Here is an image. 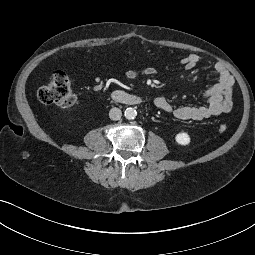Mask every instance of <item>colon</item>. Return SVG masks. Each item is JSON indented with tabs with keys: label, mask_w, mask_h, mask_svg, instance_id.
I'll return each mask as SVG.
<instances>
[{
	"label": "colon",
	"mask_w": 255,
	"mask_h": 255,
	"mask_svg": "<svg viewBox=\"0 0 255 255\" xmlns=\"http://www.w3.org/2000/svg\"><path fill=\"white\" fill-rule=\"evenodd\" d=\"M37 97L45 104L67 109L72 108L76 100L71 80L64 72L53 73L48 81L38 88ZM226 130L227 126L225 124L218 126L220 133H224Z\"/></svg>",
	"instance_id": "1"
}]
</instances>
